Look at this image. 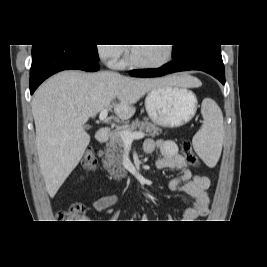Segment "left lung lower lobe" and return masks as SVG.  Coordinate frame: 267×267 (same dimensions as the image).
Segmentation results:
<instances>
[{
    "label": "left lung lower lobe",
    "instance_id": "left-lung-lower-lobe-1",
    "mask_svg": "<svg viewBox=\"0 0 267 267\" xmlns=\"http://www.w3.org/2000/svg\"><path fill=\"white\" fill-rule=\"evenodd\" d=\"M174 61L157 69L130 71L134 77H159L165 74L187 70L204 71L225 84L224 65L220 45H192L179 54H173Z\"/></svg>",
    "mask_w": 267,
    "mask_h": 267
}]
</instances>
